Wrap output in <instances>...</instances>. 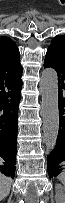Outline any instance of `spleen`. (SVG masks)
<instances>
[{
	"label": "spleen",
	"instance_id": "1",
	"mask_svg": "<svg viewBox=\"0 0 65 203\" xmlns=\"http://www.w3.org/2000/svg\"><path fill=\"white\" fill-rule=\"evenodd\" d=\"M58 180L61 182V183H65V173L62 172L58 177Z\"/></svg>",
	"mask_w": 65,
	"mask_h": 203
}]
</instances>
